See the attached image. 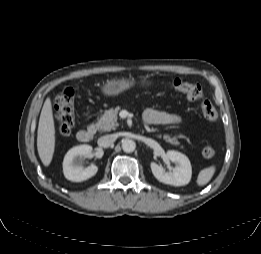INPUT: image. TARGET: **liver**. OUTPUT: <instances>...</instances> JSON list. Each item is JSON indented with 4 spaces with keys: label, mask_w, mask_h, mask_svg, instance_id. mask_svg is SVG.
Returning a JSON list of instances; mask_svg holds the SVG:
<instances>
[{
    "label": "liver",
    "mask_w": 261,
    "mask_h": 254,
    "mask_svg": "<svg viewBox=\"0 0 261 254\" xmlns=\"http://www.w3.org/2000/svg\"><path fill=\"white\" fill-rule=\"evenodd\" d=\"M37 150L44 166H49L55 150V122L51 99L44 102L37 131Z\"/></svg>",
    "instance_id": "1"
}]
</instances>
